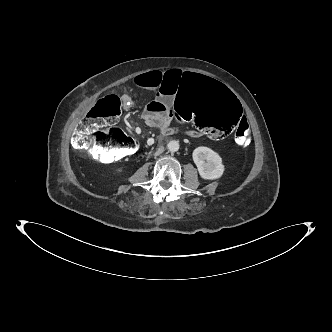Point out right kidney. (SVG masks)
<instances>
[{
	"label": "right kidney",
	"mask_w": 332,
	"mask_h": 332,
	"mask_svg": "<svg viewBox=\"0 0 332 332\" xmlns=\"http://www.w3.org/2000/svg\"><path fill=\"white\" fill-rule=\"evenodd\" d=\"M124 170L123 167H118L116 170H115V173H122Z\"/></svg>",
	"instance_id": "obj_1"
}]
</instances>
